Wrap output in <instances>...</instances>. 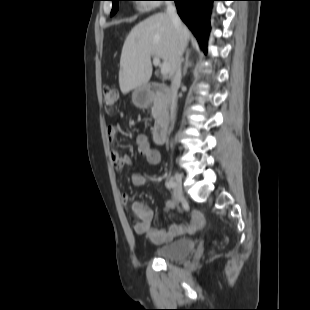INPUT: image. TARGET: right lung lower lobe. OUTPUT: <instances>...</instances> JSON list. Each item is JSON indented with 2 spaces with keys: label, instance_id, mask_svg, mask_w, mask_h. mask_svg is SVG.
I'll list each match as a JSON object with an SVG mask.
<instances>
[{
  "label": "right lung lower lobe",
  "instance_id": "1",
  "mask_svg": "<svg viewBox=\"0 0 310 310\" xmlns=\"http://www.w3.org/2000/svg\"><path fill=\"white\" fill-rule=\"evenodd\" d=\"M177 12L189 29L196 36L206 53V44L210 30L209 16L212 2L216 0H173Z\"/></svg>",
  "mask_w": 310,
  "mask_h": 310
}]
</instances>
